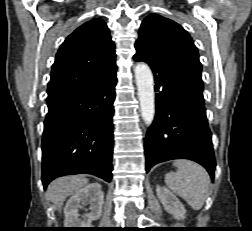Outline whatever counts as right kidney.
Instances as JSON below:
<instances>
[{"label":"right kidney","instance_id":"1","mask_svg":"<svg viewBox=\"0 0 252 231\" xmlns=\"http://www.w3.org/2000/svg\"><path fill=\"white\" fill-rule=\"evenodd\" d=\"M83 203L90 204V212L79 218V209ZM103 203L104 194L100 184L92 183L80 189L66 203L65 226L67 228H90L91 222L101 217Z\"/></svg>","mask_w":252,"mask_h":231}]
</instances>
